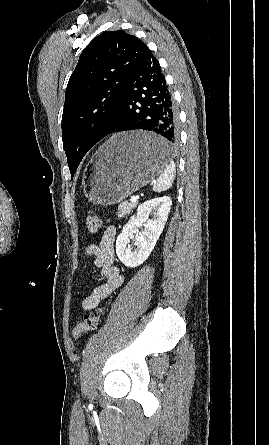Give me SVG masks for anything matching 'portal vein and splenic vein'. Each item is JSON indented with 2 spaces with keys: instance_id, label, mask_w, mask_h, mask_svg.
I'll list each match as a JSON object with an SVG mask.
<instances>
[{
  "instance_id": "1",
  "label": "portal vein and splenic vein",
  "mask_w": 269,
  "mask_h": 445,
  "mask_svg": "<svg viewBox=\"0 0 269 445\" xmlns=\"http://www.w3.org/2000/svg\"><path fill=\"white\" fill-rule=\"evenodd\" d=\"M137 200H138V197H137L136 195H133V196L131 197V202H132V203H136Z\"/></svg>"
}]
</instances>
